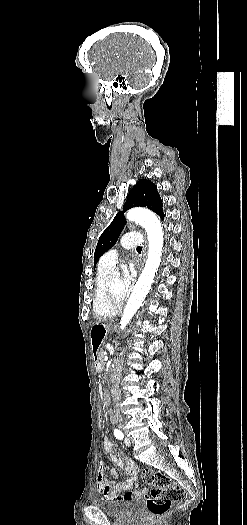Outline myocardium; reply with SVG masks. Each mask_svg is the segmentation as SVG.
I'll use <instances>...</instances> for the list:
<instances>
[{
    "instance_id": "1",
    "label": "myocardium",
    "mask_w": 247,
    "mask_h": 525,
    "mask_svg": "<svg viewBox=\"0 0 247 525\" xmlns=\"http://www.w3.org/2000/svg\"><path fill=\"white\" fill-rule=\"evenodd\" d=\"M120 262H121V260H120L119 262H117L115 266H116V267H119ZM109 283H110V279L107 278V279L105 280V283H104V286H103V291H104L105 296H107V295H109V294L111 293V292H110V288H109Z\"/></svg>"
}]
</instances>
